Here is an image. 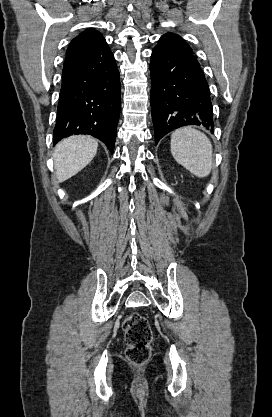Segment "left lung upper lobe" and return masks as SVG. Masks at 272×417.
I'll return each mask as SVG.
<instances>
[{"label": "left lung upper lobe", "instance_id": "1", "mask_svg": "<svg viewBox=\"0 0 272 417\" xmlns=\"http://www.w3.org/2000/svg\"><path fill=\"white\" fill-rule=\"evenodd\" d=\"M156 47L192 53L190 46L180 36L174 33H166L163 35L159 39Z\"/></svg>", "mask_w": 272, "mask_h": 417}]
</instances>
